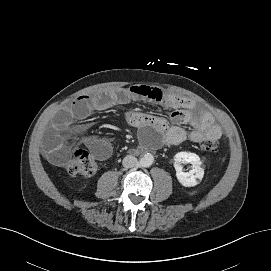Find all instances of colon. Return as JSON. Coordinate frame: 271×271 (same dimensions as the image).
<instances>
[{
	"instance_id": "colon-1",
	"label": "colon",
	"mask_w": 271,
	"mask_h": 271,
	"mask_svg": "<svg viewBox=\"0 0 271 271\" xmlns=\"http://www.w3.org/2000/svg\"><path fill=\"white\" fill-rule=\"evenodd\" d=\"M219 145L218 139L214 137L204 138L200 142V148L204 151H213ZM65 170L70 175L91 176L97 170V164L94 158L83 149L74 152L70 160L65 164Z\"/></svg>"
}]
</instances>
